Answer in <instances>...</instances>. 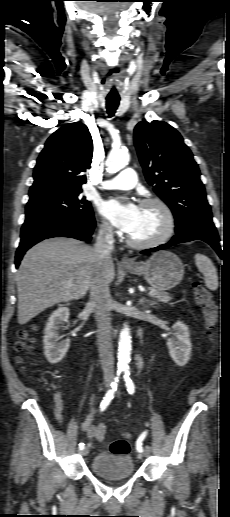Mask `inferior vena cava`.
<instances>
[{"label":"inferior vena cava","instance_id":"1","mask_svg":"<svg viewBox=\"0 0 230 517\" xmlns=\"http://www.w3.org/2000/svg\"><path fill=\"white\" fill-rule=\"evenodd\" d=\"M113 244L111 228L106 225L101 226L94 245L98 268L90 283V301L96 309L99 357L104 379L107 380H112L114 376L112 326L109 314L112 300L106 271L110 264Z\"/></svg>","mask_w":230,"mask_h":517}]
</instances>
